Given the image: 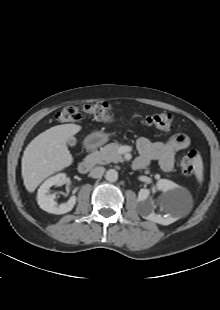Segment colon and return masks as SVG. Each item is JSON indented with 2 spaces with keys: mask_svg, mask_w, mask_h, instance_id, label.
I'll return each instance as SVG.
<instances>
[{
  "mask_svg": "<svg viewBox=\"0 0 220 310\" xmlns=\"http://www.w3.org/2000/svg\"><path fill=\"white\" fill-rule=\"evenodd\" d=\"M83 115H90L101 121H113L114 114L112 106L105 101H95L82 107L68 106L59 114L61 122H76L82 119ZM141 124L155 127L160 130H170L173 124V117L170 113H153L145 116ZM200 166L199 157L196 151H188L180 160V169L184 174H192Z\"/></svg>",
  "mask_w": 220,
  "mask_h": 310,
  "instance_id": "obj_1",
  "label": "colon"
}]
</instances>
